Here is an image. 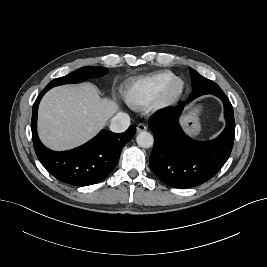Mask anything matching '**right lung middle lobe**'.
Wrapping results in <instances>:
<instances>
[{
	"label": "right lung middle lobe",
	"mask_w": 267,
	"mask_h": 267,
	"mask_svg": "<svg viewBox=\"0 0 267 267\" xmlns=\"http://www.w3.org/2000/svg\"><path fill=\"white\" fill-rule=\"evenodd\" d=\"M107 68L98 66H85L82 67L64 77L56 78L52 80L46 87L51 89L54 86L69 84V83H80L88 78L100 77L107 73Z\"/></svg>",
	"instance_id": "right-lung-middle-lobe-1"
}]
</instances>
